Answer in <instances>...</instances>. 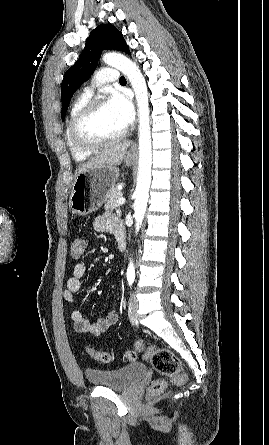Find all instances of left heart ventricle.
Listing matches in <instances>:
<instances>
[{"label": "left heart ventricle", "mask_w": 269, "mask_h": 445, "mask_svg": "<svg viewBox=\"0 0 269 445\" xmlns=\"http://www.w3.org/2000/svg\"><path fill=\"white\" fill-rule=\"evenodd\" d=\"M125 129L116 114L105 103L84 124L82 132L90 139L112 137Z\"/></svg>", "instance_id": "1"}]
</instances>
